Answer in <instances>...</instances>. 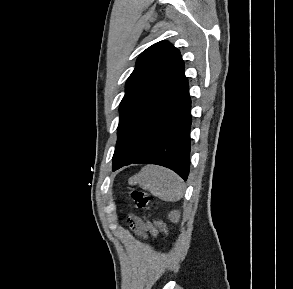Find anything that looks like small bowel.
<instances>
[{
  "label": "small bowel",
  "instance_id": "1",
  "mask_svg": "<svg viewBox=\"0 0 293 289\" xmlns=\"http://www.w3.org/2000/svg\"><path fill=\"white\" fill-rule=\"evenodd\" d=\"M131 221L133 230L141 237L145 238L147 234L152 237L157 236V230L151 223L145 222L136 216H132Z\"/></svg>",
  "mask_w": 293,
  "mask_h": 289
}]
</instances>
